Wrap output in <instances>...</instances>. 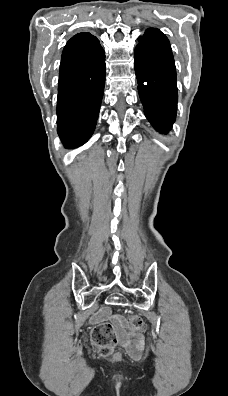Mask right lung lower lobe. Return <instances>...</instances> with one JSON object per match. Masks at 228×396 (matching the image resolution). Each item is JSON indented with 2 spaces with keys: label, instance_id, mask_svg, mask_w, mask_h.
I'll list each match as a JSON object with an SVG mask.
<instances>
[{
  "label": "right lung lower lobe",
  "instance_id": "right-lung-lower-lobe-1",
  "mask_svg": "<svg viewBox=\"0 0 228 396\" xmlns=\"http://www.w3.org/2000/svg\"><path fill=\"white\" fill-rule=\"evenodd\" d=\"M72 38L62 53L57 99V132L67 148L92 136L105 85V53L98 39L93 48L81 49Z\"/></svg>",
  "mask_w": 228,
  "mask_h": 396
}]
</instances>
